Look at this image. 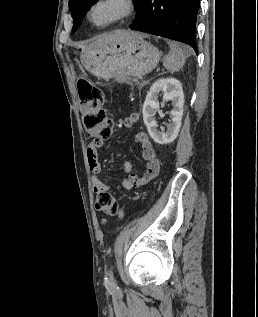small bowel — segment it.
<instances>
[{
    "mask_svg": "<svg viewBox=\"0 0 258 317\" xmlns=\"http://www.w3.org/2000/svg\"><path fill=\"white\" fill-rule=\"evenodd\" d=\"M139 119L140 115L138 113H132L127 116L122 123L126 127H132L139 121ZM135 141L142 147V155L144 160L147 162L146 173L144 177H139L133 172V163L131 161H125L123 163V170L127 177L117 185V189L120 191L131 190L134 187L145 184L147 181L156 177L160 170L158 152L148 135L144 132H139L135 136ZM103 145V139H93L87 147V160L90 172L92 173V189L96 194L109 192L111 190V186L99 178L101 165L99 162L98 150Z\"/></svg>",
    "mask_w": 258,
    "mask_h": 317,
    "instance_id": "small-bowel-1",
    "label": "small bowel"
}]
</instances>
